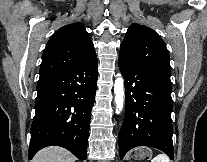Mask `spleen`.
Segmentation results:
<instances>
[{
	"label": "spleen",
	"mask_w": 207,
	"mask_h": 162,
	"mask_svg": "<svg viewBox=\"0 0 207 162\" xmlns=\"http://www.w3.org/2000/svg\"><path fill=\"white\" fill-rule=\"evenodd\" d=\"M151 162H170V159L165 154H159L156 157H154Z\"/></svg>",
	"instance_id": "1"
}]
</instances>
